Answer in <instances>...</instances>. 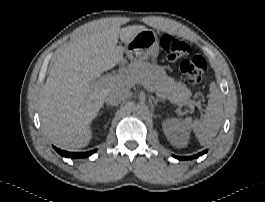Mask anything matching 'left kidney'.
<instances>
[{
	"label": "left kidney",
	"mask_w": 265,
	"mask_h": 202,
	"mask_svg": "<svg viewBox=\"0 0 265 202\" xmlns=\"http://www.w3.org/2000/svg\"><path fill=\"white\" fill-rule=\"evenodd\" d=\"M168 141L177 148L186 147L190 138L188 127L179 119H166L162 124Z\"/></svg>",
	"instance_id": "obj_1"
}]
</instances>
